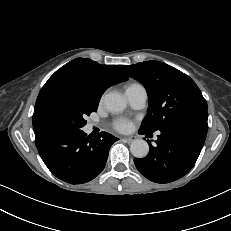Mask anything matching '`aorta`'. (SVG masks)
Returning a JSON list of instances; mask_svg holds the SVG:
<instances>
[{
  "label": "aorta",
  "instance_id": "aorta-1",
  "mask_svg": "<svg viewBox=\"0 0 231 231\" xmlns=\"http://www.w3.org/2000/svg\"><path fill=\"white\" fill-rule=\"evenodd\" d=\"M106 108L112 113L122 112L126 107L125 99L117 93H108L104 98ZM130 151L136 158H144L149 153V145L143 139H136L130 145Z\"/></svg>",
  "mask_w": 231,
  "mask_h": 231
}]
</instances>
